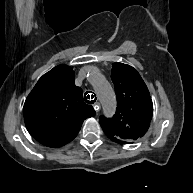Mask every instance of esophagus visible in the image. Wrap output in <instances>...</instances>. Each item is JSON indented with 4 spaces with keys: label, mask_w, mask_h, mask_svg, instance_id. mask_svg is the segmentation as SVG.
<instances>
[{
    "label": "esophagus",
    "mask_w": 193,
    "mask_h": 193,
    "mask_svg": "<svg viewBox=\"0 0 193 193\" xmlns=\"http://www.w3.org/2000/svg\"><path fill=\"white\" fill-rule=\"evenodd\" d=\"M90 95H91V93H90ZM92 95H94V94H92ZM94 110H95L96 112H99V110H100V104H99L98 102H96V103L94 104Z\"/></svg>",
    "instance_id": "1"
}]
</instances>
